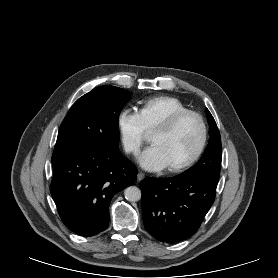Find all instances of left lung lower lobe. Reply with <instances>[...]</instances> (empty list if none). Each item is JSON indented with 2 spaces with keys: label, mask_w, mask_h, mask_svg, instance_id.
Returning a JSON list of instances; mask_svg holds the SVG:
<instances>
[{
  "label": "left lung lower lobe",
  "mask_w": 278,
  "mask_h": 278,
  "mask_svg": "<svg viewBox=\"0 0 278 278\" xmlns=\"http://www.w3.org/2000/svg\"><path fill=\"white\" fill-rule=\"evenodd\" d=\"M217 181L176 176L140 182L145 229L165 243L196 233L215 200Z\"/></svg>",
  "instance_id": "0a47b994"
}]
</instances>
